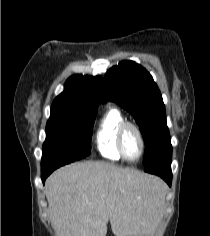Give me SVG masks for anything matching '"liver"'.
<instances>
[{
  "instance_id": "1",
  "label": "liver",
  "mask_w": 210,
  "mask_h": 236,
  "mask_svg": "<svg viewBox=\"0 0 210 236\" xmlns=\"http://www.w3.org/2000/svg\"><path fill=\"white\" fill-rule=\"evenodd\" d=\"M45 194L57 236H148L158 224L165 184L103 161L73 163L48 177Z\"/></svg>"
}]
</instances>
